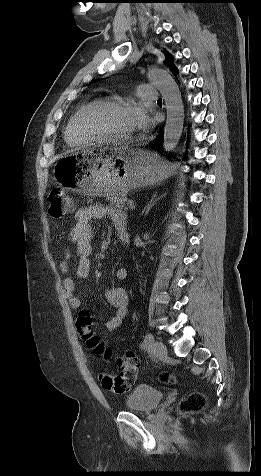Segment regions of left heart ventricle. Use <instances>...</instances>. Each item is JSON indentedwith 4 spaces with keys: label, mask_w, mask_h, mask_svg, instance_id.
<instances>
[{
    "label": "left heart ventricle",
    "mask_w": 261,
    "mask_h": 476,
    "mask_svg": "<svg viewBox=\"0 0 261 476\" xmlns=\"http://www.w3.org/2000/svg\"><path fill=\"white\" fill-rule=\"evenodd\" d=\"M132 108L121 107L93 111L87 116L86 125L95 131L128 135L134 130Z\"/></svg>",
    "instance_id": "1"
}]
</instances>
